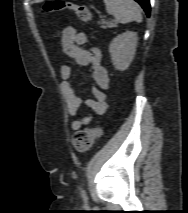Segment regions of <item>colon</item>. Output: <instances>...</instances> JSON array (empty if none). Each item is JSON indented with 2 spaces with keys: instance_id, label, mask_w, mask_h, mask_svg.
I'll list each match as a JSON object with an SVG mask.
<instances>
[{
  "instance_id": "1",
  "label": "colon",
  "mask_w": 188,
  "mask_h": 213,
  "mask_svg": "<svg viewBox=\"0 0 188 213\" xmlns=\"http://www.w3.org/2000/svg\"><path fill=\"white\" fill-rule=\"evenodd\" d=\"M44 13H52L63 10L74 12L81 20L89 21L91 19L90 10L83 5L74 4L68 0H48L42 8ZM103 133L101 127L86 128L75 132L73 135V146L79 152H85L91 148L97 138Z\"/></svg>"
}]
</instances>
